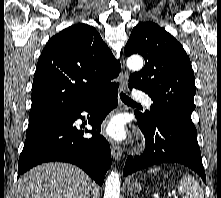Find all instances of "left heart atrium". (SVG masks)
I'll return each mask as SVG.
<instances>
[{
	"instance_id": "1",
	"label": "left heart atrium",
	"mask_w": 221,
	"mask_h": 198,
	"mask_svg": "<svg viewBox=\"0 0 221 198\" xmlns=\"http://www.w3.org/2000/svg\"><path fill=\"white\" fill-rule=\"evenodd\" d=\"M104 133L115 141L123 140L126 136L123 122L115 118L111 120L104 129Z\"/></svg>"
}]
</instances>
